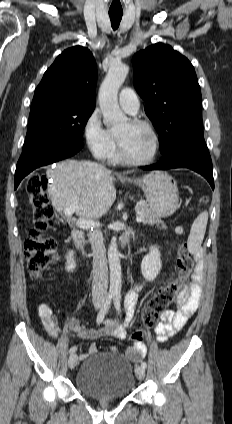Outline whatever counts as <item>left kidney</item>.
Here are the masks:
<instances>
[{"instance_id":"5707ae66","label":"left kidney","mask_w":232,"mask_h":424,"mask_svg":"<svg viewBox=\"0 0 232 424\" xmlns=\"http://www.w3.org/2000/svg\"><path fill=\"white\" fill-rule=\"evenodd\" d=\"M161 267L160 252L156 246H152L149 254L141 262L142 275L146 280L153 281L159 274Z\"/></svg>"}]
</instances>
